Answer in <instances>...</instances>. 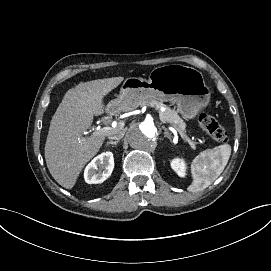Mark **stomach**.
Instances as JSON below:
<instances>
[{"label": "stomach", "instance_id": "1", "mask_svg": "<svg viewBox=\"0 0 271 271\" xmlns=\"http://www.w3.org/2000/svg\"><path fill=\"white\" fill-rule=\"evenodd\" d=\"M172 101L186 120H194L211 102V88L195 68L181 64L153 69L148 79L128 77L118 98L108 105L109 112L130 111L148 100Z\"/></svg>", "mask_w": 271, "mask_h": 271}]
</instances>
